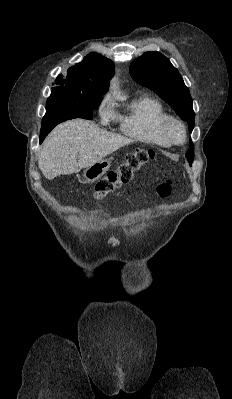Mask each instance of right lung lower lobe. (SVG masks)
<instances>
[{
	"label": "right lung lower lobe",
	"instance_id": "1",
	"mask_svg": "<svg viewBox=\"0 0 232 399\" xmlns=\"http://www.w3.org/2000/svg\"><path fill=\"white\" fill-rule=\"evenodd\" d=\"M92 117V113L74 114L57 108L46 107V114L43 117L40 131V143L43 142L49 132L59 123L74 118L92 119Z\"/></svg>",
	"mask_w": 232,
	"mask_h": 399
}]
</instances>
